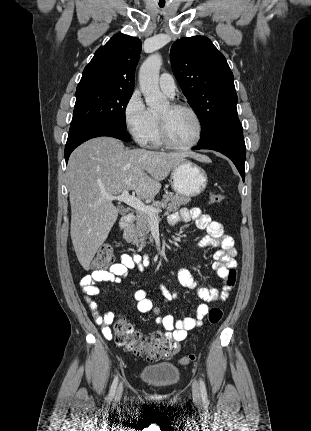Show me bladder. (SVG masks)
Masks as SVG:
<instances>
[{"label":"bladder","mask_w":311,"mask_h":431,"mask_svg":"<svg viewBox=\"0 0 311 431\" xmlns=\"http://www.w3.org/2000/svg\"><path fill=\"white\" fill-rule=\"evenodd\" d=\"M140 378L150 386L167 389L174 387L179 382L180 371L171 363L150 364L143 367Z\"/></svg>","instance_id":"1"}]
</instances>
